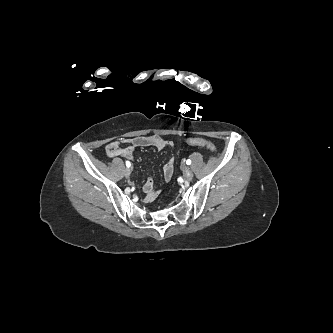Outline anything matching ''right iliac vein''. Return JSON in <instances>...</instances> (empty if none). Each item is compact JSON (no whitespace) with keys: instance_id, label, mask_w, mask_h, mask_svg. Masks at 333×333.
I'll return each instance as SVG.
<instances>
[{"instance_id":"obj_1","label":"right iliac vein","mask_w":333,"mask_h":333,"mask_svg":"<svg viewBox=\"0 0 333 333\" xmlns=\"http://www.w3.org/2000/svg\"><path fill=\"white\" fill-rule=\"evenodd\" d=\"M130 174H131V170H130L129 168H126V169L124 170V175H125L127 178H129V177H130Z\"/></svg>"}]
</instances>
